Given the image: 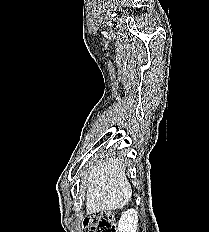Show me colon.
<instances>
[{"mask_svg": "<svg viewBox=\"0 0 209 232\" xmlns=\"http://www.w3.org/2000/svg\"><path fill=\"white\" fill-rule=\"evenodd\" d=\"M83 226L89 232H117L114 218L107 212H97L84 218Z\"/></svg>", "mask_w": 209, "mask_h": 232, "instance_id": "1", "label": "colon"}]
</instances>
